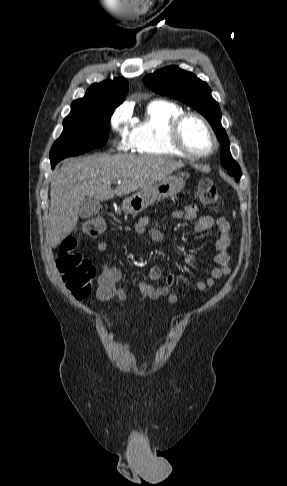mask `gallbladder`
Segmentation results:
<instances>
[{"mask_svg":"<svg viewBox=\"0 0 287 486\" xmlns=\"http://www.w3.org/2000/svg\"><path fill=\"white\" fill-rule=\"evenodd\" d=\"M102 205L99 200L91 197H85L79 205V217L82 219L91 218L99 214Z\"/></svg>","mask_w":287,"mask_h":486,"instance_id":"bac80fb5","label":"gallbladder"}]
</instances>
